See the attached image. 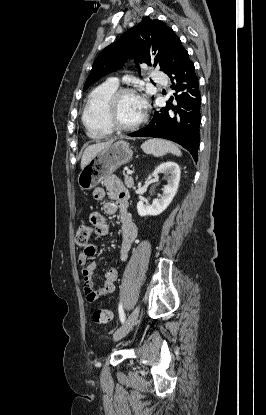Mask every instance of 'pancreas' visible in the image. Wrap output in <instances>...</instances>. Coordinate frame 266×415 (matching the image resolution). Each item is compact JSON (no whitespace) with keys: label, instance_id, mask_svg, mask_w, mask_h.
Instances as JSON below:
<instances>
[{"label":"pancreas","instance_id":"1","mask_svg":"<svg viewBox=\"0 0 266 415\" xmlns=\"http://www.w3.org/2000/svg\"><path fill=\"white\" fill-rule=\"evenodd\" d=\"M124 181H125V185H126L128 188L133 187V185H134V180H133V178H132L131 176L124 174Z\"/></svg>","mask_w":266,"mask_h":415}]
</instances>
